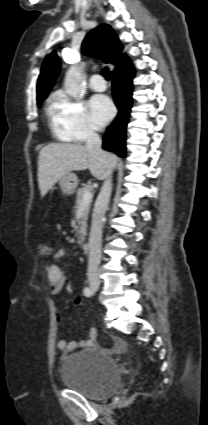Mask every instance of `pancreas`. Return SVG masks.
Returning <instances> with one entry per match:
<instances>
[{
  "label": "pancreas",
  "mask_w": 208,
  "mask_h": 425,
  "mask_svg": "<svg viewBox=\"0 0 208 425\" xmlns=\"http://www.w3.org/2000/svg\"><path fill=\"white\" fill-rule=\"evenodd\" d=\"M92 190V186L89 184H83L82 188H79L77 191V199L75 203V209L74 212L79 208L83 196L86 192H90ZM91 206V201L87 203L86 207L84 208L81 218L77 221V225L75 227V230L78 234V244H82V242L85 240V236L87 234V220H88V213ZM75 223V221H74Z\"/></svg>",
  "instance_id": "1"
}]
</instances>
